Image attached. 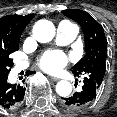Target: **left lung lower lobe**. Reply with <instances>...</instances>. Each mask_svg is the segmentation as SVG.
Wrapping results in <instances>:
<instances>
[{
  "label": "left lung lower lobe",
  "instance_id": "0a47b994",
  "mask_svg": "<svg viewBox=\"0 0 117 117\" xmlns=\"http://www.w3.org/2000/svg\"><path fill=\"white\" fill-rule=\"evenodd\" d=\"M98 93V88L93 84L92 80L84 81L82 91L75 92L72 96L62 98L63 106L71 109L82 108L91 104Z\"/></svg>",
  "mask_w": 117,
  "mask_h": 117
}]
</instances>
